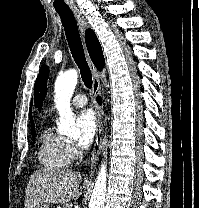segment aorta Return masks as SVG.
I'll return each mask as SVG.
<instances>
[{"instance_id": "1", "label": "aorta", "mask_w": 199, "mask_h": 208, "mask_svg": "<svg viewBox=\"0 0 199 208\" xmlns=\"http://www.w3.org/2000/svg\"><path fill=\"white\" fill-rule=\"evenodd\" d=\"M78 81V72L75 69L66 71L57 77L55 82V106L59 112L60 119L57 123L58 133L66 136H76L80 130L76 127L74 114L70 107L71 97ZM106 144V141H104ZM105 154V152H104ZM106 163L103 162L95 181L91 194L89 208H104L107 185Z\"/></svg>"}]
</instances>
